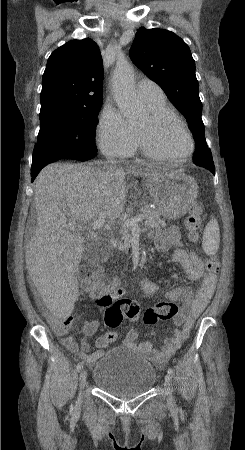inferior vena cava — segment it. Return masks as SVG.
I'll list each match as a JSON object with an SVG mask.
<instances>
[{"label": "inferior vena cava", "instance_id": "obj_1", "mask_svg": "<svg viewBox=\"0 0 245 450\" xmlns=\"http://www.w3.org/2000/svg\"><path fill=\"white\" fill-rule=\"evenodd\" d=\"M108 163L114 164L115 161L111 157H108ZM111 170H113V169L111 168Z\"/></svg>", "mask_w": 245, "mask_h": 450}]
</instances>
